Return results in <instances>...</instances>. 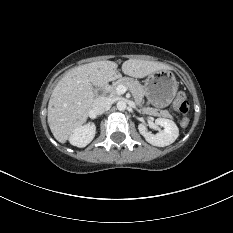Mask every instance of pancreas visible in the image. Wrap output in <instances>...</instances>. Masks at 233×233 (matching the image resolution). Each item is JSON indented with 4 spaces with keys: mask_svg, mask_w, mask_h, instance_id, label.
I'll return each mask as SVG.
<instances>
[{
    "mask_svg": "<svg viewBox=\"0 0 233 233\" xmlns=\"http://www.w3.org/2000/svg\"><path fill=\"white\" fill-rule=\"evenodd\" d=\"M119 85H124L127 88H129V90L131 91L134 97L136 104L142 107L141 103L145 95V90L144 87L139 83V81L129 77L120 78L119 80L113 82L112 85L107 88V92L110 94V97H116L118 95L116 92V88ZM141 110L146 114L172 118V115L167 110H160V112H158L157 109L150 107L147 108L142 107Z\"/></svg>",
    "mask_w": 233,
    "mask_h": 233,
    "instance_id": "obj_1",
    "label": "pancreas"
}]
</instances>
